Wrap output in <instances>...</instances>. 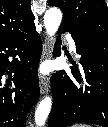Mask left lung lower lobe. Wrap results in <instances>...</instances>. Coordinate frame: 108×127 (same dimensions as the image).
Segmentation results:
<instances>
[{"instance_id":"0a47b994","label":"left lung lower lobe","mask_w":108,"mask_h":127,"mask_svg":"<svg viewBox=\"0 0 108 127\" xmlns=\"http://www.w3.org/2000/svg\"><path fill=\"white\" fill-rule=\"evenodd\" d=\"M59 33H71L80 64L71 72L61 70L53 74L51 90L54 103L49 115L48 127H66L88 122L108 127V39L87 40L82 32L69 25H60ZM61 41H56V48ZM55 49V54L60 50Z\"/></svg>"}]
</instances>
